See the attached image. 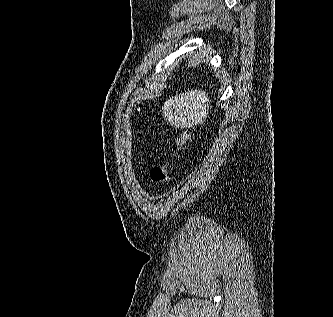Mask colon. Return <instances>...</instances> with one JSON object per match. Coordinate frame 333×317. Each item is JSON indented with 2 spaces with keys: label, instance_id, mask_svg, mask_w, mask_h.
Here are the masks:
<instances>
[{
  "label": "colon",
  "instance_id": "1",
  "mask_svg": "<svg viewBox=\"0 0 333 317\" xmlns=\"http://www.w3.org/2000/svg\"><path fill=\"white\" fill-rule=\"evenodd\" d=\"M191 138V132L190 131H182L176 141H175V147L170 154L169 158L164 164L154 166L150 171V179L155 184L160 185H167L169 183L170 177H169V171L170 167L174 162V159L176 156L185 148L187 143L190 141Z\"/></svg>",
  "mask_w": 333,
  "mask_h": 317
}]
</instances>
